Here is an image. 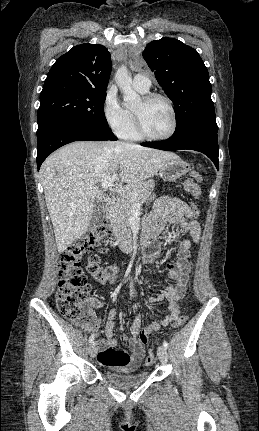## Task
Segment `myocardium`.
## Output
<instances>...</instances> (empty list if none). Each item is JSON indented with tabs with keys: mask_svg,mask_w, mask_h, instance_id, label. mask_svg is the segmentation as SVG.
<instances>
[{
	"mask_svg": "<svg viewBox=\"0 0 259 431\" xmlns=\"http://www.w3.org/2000/svg\"><path fill=\"white\" fill-rule=\"evenodd\" d=\"M154 99H161V100L165 101L166 104L168 105V108H169L170 113H171V118H172L170 130L167 133H165L163 135H159V136L149 134L147 132V130L145 129L141 115L138 112L133 110L132 112H133V117H134V124H135V129H136L137 133L141 136V138L151 140V141H162V140L169 139L170 137H172L175 134V132L177 130V124H178L177 113H176V109H175V106H174L172 100L167 95H165L163 93L151 92V93H147V94L143 95V97H142V100L144 103H149L150 101H152Z\"/></svg>",
	"mask_w": 259,
	"mask_h": 431,
	"instance_id": "myocardium-1",
	"label": "myocardium"
}]
</instances>
